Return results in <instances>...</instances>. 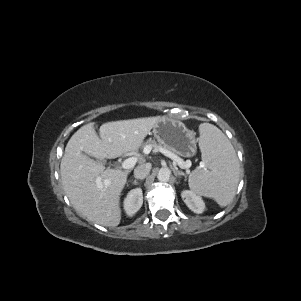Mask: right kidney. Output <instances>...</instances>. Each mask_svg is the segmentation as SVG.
Segmentation results:
<instances>
[{
  "label": "right kidney",
  "mask_w": 301,
  "mask_h": 301,
  "mask_svg": "<svg viewBox=\"0 0 301 301\" xmlns=\"http://www.w3.org/2000/svg\"><path fill=\"white\" fill-rule=\"evenodd\" d=\"M143 204L141 188L132 189L124 199V210L128 216L134 215Z\"/></svg>",
  "instance_id": "ca27d5eb"
}]
</instances>
